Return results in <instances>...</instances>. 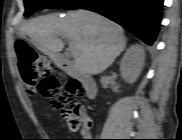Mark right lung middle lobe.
<instances>
[{
  "label": "right lung middle lobe",
  "instance_id": "right-lung-middle-lobe-1",
  "mask_svg": "<svg viewBox=\"0 0 182 140\" xmlns=\"http://www.w3.org/2000/svg\"><path fill=\"white\" fill-rule=\"evenodd\" d=\"M91 0H24L25 3V16L28 17L32 13L45 8L78 9Z\"/></svg>",
  "mask_w": 182,
  "mask_h": 140
}]
</instances>
